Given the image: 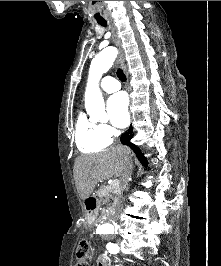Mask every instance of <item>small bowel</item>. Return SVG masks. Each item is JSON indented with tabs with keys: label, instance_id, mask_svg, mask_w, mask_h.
<instances>
[{
	"label": "small bowel",
	"instance_id": "small-bowel-1",
	"mask_svg": "<svg viewBox=\"0 0 221 266\" xmlns=\"http://www.w3.org/2000/svg\"><path fill=\"white\" fill-rule=\"evenodd\" d=\"M97 266H112L107 255H101L97 260ZM119 266V265H117Z\"/></svg>",
	"mask_w": 221,
	"mask_h": 266
}]
</instances>
